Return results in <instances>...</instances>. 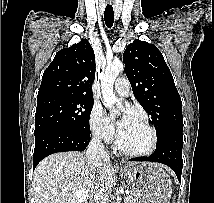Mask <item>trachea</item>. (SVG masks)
<instances>
[{
  "instance_id": "1",
  "label": "trachea",
  "mask_w": 214,
  "mask_h": 203,
  "mask_svg": "<svg viewBox=\"0 0 214 203\" xmlns=\"http://www.w3.org/2000/svg\"><path fill=\"white\" fill-rule=\"evenodd\" d=\"M104 20H105V24L108 28H111L113 26L114 11H113V7L111 5H107L105 8Z\"/></svg>"
}]
</instances>
